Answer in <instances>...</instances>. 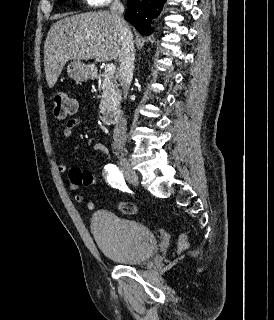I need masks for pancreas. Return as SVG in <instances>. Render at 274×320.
Here are the masks:
<instances>
[{"label": "pancreas", "instance_id": "pancreas-1", "mask_svg": "<svg viewBox=\"0 0 274 320\" xmlns=\"http://www.w3.org/2000/svg\"><path fill=\"white\" fill-rule=\"evenodd\" d=\"M102 84L100 86L102 90V100L100 102V110H108V108H114L119 106L121 100L120 90L117 88L116 80L113 76L108 74H102Z\"/></svg>", "mask_w": 274, "mask_h": 320}]
</instances>
